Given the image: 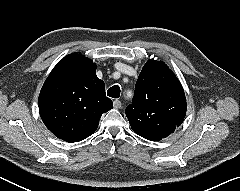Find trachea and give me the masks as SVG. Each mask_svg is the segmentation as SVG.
I'll list each match as a JSON object with an SVG mask.
<instances>
[{
    "mask_svg": "<svg viewBox=\"0 0 240 191\" xmlns=\"http://www.w3.org/2000/svg\"><path fill=\"white\" fill-rule=\"evenodd\" d=\"M107 95L112 98H119L120 96V87L118 85H114L108 89Z\"/></svg>",
    "mask_w": 240,
    "mask_h": 191,
    "instance_id": "trachea-1",
    "label": "trachea"
}]
</instances>
